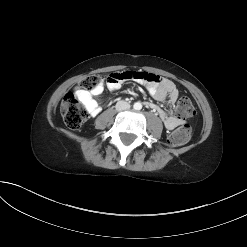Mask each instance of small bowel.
<instances>
[{"mask_svg": "<svg viewBox=\"0 0 247 247\" xmlns=\"http://www.w3.org/2000/svg\"><path fill=\"white\" fill-rule=\"evenodd\" d=\"M105 81L108 89L114 91L121 87L125 82H136L145 84L149 93L158 101L166 102L168 105H173L179 96V91L176 85L169 79L153 74L150 71L143 70H117L109 72L105 76ZM104 90V83L101 81L95 88L90 91L76 87L74 94L85 106L87 111L96 116L102 109V104L98 100ZM152 110L158 112L165 127L172 130L181 124V120L168 111L160 109L152 103L146 104Z\"/></svg>", "mask_w": 247, "mask_h": 247, "instance_id": "1", "label": "small bowel"}]
</instances>
